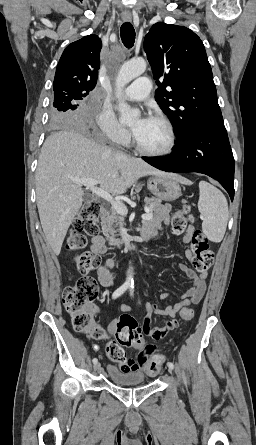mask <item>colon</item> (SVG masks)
<instances>
[{"mask_svg":"<svg viewBox=\"0 0 256 445\" xmlns=\"http://www.w3.org/2000/svg\"><path fill=\"white\" fill-rule=\"evenodd\" d=\"M101 206L97 202L86 203L74 221L73 228L65 243L68 251L83 249L87 244V236H93L99 230ZM194 218L190 214L187 202L183 203L182 209L175 212L171 217V228L174 234H183L191 227ZM191 252L193 267L200 273L209 271L214 262V253L211 251L204 234L196 230L192 234ZM77 267L82 274L77 281L67 286L62 295L63 305L71 317L73 328L78 332H86L95 340H105L106 333L98 325L92 322V303L98 294L96 280L87 273L101 265L99 256L84 252L76 258ZM185 319L194 316V310L186 307L182 310ZM143 328L137 320L130 315H122L117 319L116 341L110 342L106 347L109 358L116 363H122L127 358L124 347L143 349ZM164 362L160 355L153 356L145 365L144 370L148 375H156Z\"/></svg>","mask_w":256,"mask_h":445,"instance_id":"obj_1","label":"colon"}]
</instances>
